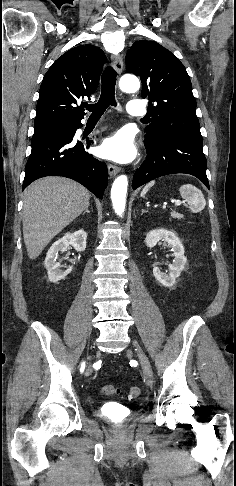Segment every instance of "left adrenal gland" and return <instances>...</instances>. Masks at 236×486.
<instances>
[{
	"label": "left adrenal gland",
	"instance_id": "a2214340",
	"mask_svg": "<svg viewBox=\"0 0 236 486\" xmlns=\"http://www.w3.org/2000/svg\"><path fill=\"white\" fill-rule=\"evenodd\" d=\"M147 210L142 209L141 214L146 213Z\"/></svg>",
	"mask_w": 236,
	"mask_h": 486
}]
</instances>
